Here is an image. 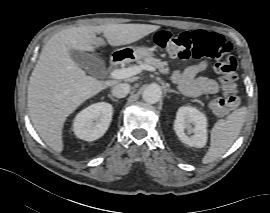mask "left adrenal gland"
Returning a JSON list of instances; mask_svg holds the SVG:
<instances>
[{
  "label": "left adrenal gland",
  "instance_id": "left-adrenal-gland-1",
  "mask_svg": "<svg viewBox=\"0 0 270 213\" xmlns=\"http://www.w3.org/2000/svg\"><path fill=\"white\" fill-rule=\"evenodd\" d=\"M167 91H168V92H172V93L179 94L178 91H176V90H174V89H171L170 87L167 88Z\"/></svg>",
  "mask_w": 270,
  "mask_h": 213
}]
</instances>
